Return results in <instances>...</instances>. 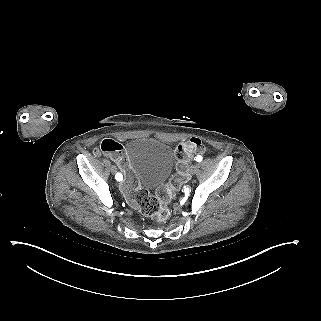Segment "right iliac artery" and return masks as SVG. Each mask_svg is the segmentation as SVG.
Segmentation results:
<instances>
[{
    "label": "right iliac artery",
    "instance_id": "1",
    "mask_svg": "<svg viewBox=\"0 0 321 321\" xmlns=\"http://www.w3.org/2000/svg\"><path fill=\"white\" fill-rule=\"evenodd\" d=\"M115 178H116L117 181H121V180H122V176H121V174H119V173H117V174L115 175Z\"/></svg>",
    "mask_w": 321,
    "mask_h": 321
}]
</instances>
